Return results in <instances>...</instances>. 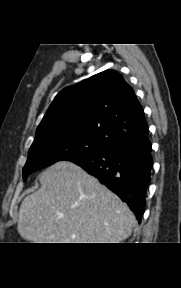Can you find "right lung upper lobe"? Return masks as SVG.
<instances>
[{
  "label": "right lung upper lobe",
  "mask_w": 181,
  "mask_h": 288,
  "mask_svg": "<svg viewBox=\"0 0 181 288\" xmlns=\"http://www.w3.org/2000/svg\"><path fill=\"white\" fill-rule=\"evenodd\" d=\"M143 108L133 89L114 70H105L54 98L36 130L35 140L84 136L106 148L148 139Z\"/></svg>",
  "instance_id": "cb5924a9"
}]
</instances>
